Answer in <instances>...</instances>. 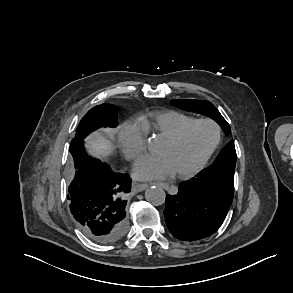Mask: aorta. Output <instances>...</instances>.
Segmentation results:
<instances>
[{
	"instance_id": "1",
	"label": "aorta",
	"mask_w": 293,
	"mask_h": 293,
	"mask_svg": "<svg viewBox=\"0 0 293 293\" xmlns=\"http://www.w3.org/2000/svg\"><path fill=\"white\" fill-rule=\"evenodd\" d=\"M166 193L160 187H150L145 192V198L151 204L158 206L165 202Z\"/></svg>"
}]
</instances>
